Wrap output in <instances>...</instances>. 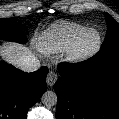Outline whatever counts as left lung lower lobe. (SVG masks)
<instances>
[{
  "label": "left lung lower lobe",
  "instance_id": "1",
  "mask_svg": "<svg viewBox=\"0 0 119 119\" xmlns=\"http://www.w3.org/2000/svg\"><path fill=\"white\" fill-rule=\"evenodd\" d=\"M56 119H119V55L60 63Z\"/></svg>",
  "mask_w": 119,
  "mask_h": 119
}]
</instances>
